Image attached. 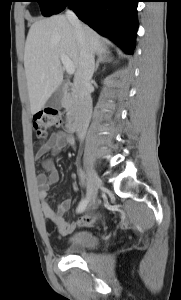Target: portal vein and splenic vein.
<instances>
[{
  "label": "portal vein and splenic vein",
  "mask_w": 181,
  "mask_h": 300,
  "mask_svg": "<svg viewBox=\"0 0 181 300\" xmlns=\"http://www.w3.org/2000/svg\"><path fill=\"white\" fill-rule=\"evenodd\" d=\"M60 58H61L62 64L64 65V67L66 69V72L69 75H72L75 72V67H74L72 61L65 55H61Z\"/></svg>",
  "instance_id": "1"
}]
</instances>
